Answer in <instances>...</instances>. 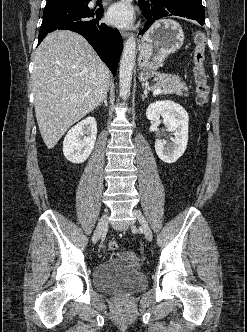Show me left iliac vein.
<instances>
[{"label":"left iliac vein","mask_w":247,"mask_h":332,"mask_svg":"<svg viewBox=\"0 0 247 332\" xmlns=\"http://www.w3.org/2000/svg\"><path fill=\"white\" fill-rule=\"evenodd\" d=\"M133 214L137 218V220L139 221V223H140V225L143 229L145 237L147 238V240L151 241L152 238H153V235H152V231H151L145 217L138 210H133Z\"/></svg>","instance_id":"obj_1"}]
</instances>
